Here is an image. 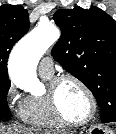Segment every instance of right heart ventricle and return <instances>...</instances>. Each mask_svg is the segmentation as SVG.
<instances>
[{"mask_svg":"<svg viewBox=\"0 0 116 134\" xmlns=\"http://www.w3.org/2000/svg\"><path fill=\"white\" fill-rule=\"evenodd\" d=\"M47 80H51L52 75H41ZM22 118L37 127L53 128L58 125L50 112L45 95H31L27 97V105L21 113Z\"/></svg>","mask_w":116,"mask_h":134,"instance_id":"right-heart-ventricle-1","label":"right heart ventricle"}]
</instances>
